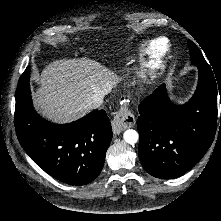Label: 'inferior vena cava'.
<instances>
[{
	"label": "inferior vena cava",
	"mask_w": 221,
	"mask_h": 221,
	"mask_svg": "<svg viewBox=\"0 0 221 221\" xmlns=\"http://www.w3.org/2000/svg\"><path fill=\"white\" fill-rule=\"evenodd\" d=\"M107 94L101 90L96 91L94 94L88 96L83 104L85 108L95 109L102 105L104 95Z\"/></svg>",
	"instance_id": "inferior-vena-cava-1"
}]
</instances>
